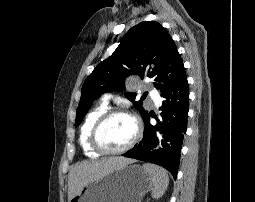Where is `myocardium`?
<instances>
[{"mask_svg":"<svg viewBox=\"0 0 255 202\" xmlns=\"http://www.w3.org/2000/svg\"><path fill=\"white\" fill-rule=\"evenodd\" d=\"M118 115H123V116L129 117L134 123L135 132H134L132 139L124 147H122L120 149H116V150H110V149L105 148L100 143L99 134H100V131H101L103 125L109 119H111L114 116H118ZM141 135H142V126H141L139 119L134 114H132L131 112H129L125 109L116 108V109L107 110L96 120V122L94 123V125L91 129L89 141H90V145L92 146V148L100 154L118 155V154H123V153L127 152L128 150H130L137 143V141L140 139Z\"/></svg>","mask_w":255,"mask_h":202,"instance_id":"1","label":"myocardium"}]
</instances>
